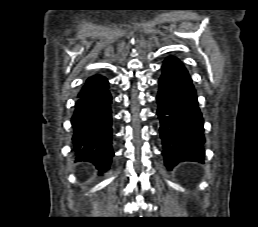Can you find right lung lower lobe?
Here are the masks:
<instances>
[{
    "instance_id": "obj_1",
    "label": "right lung lower lobe",
    "mask_w": 258,
    "mask_h": 227,
    "mask_svg": "<svg viewBox=\"0 0 258 227\" xmlns=\"http://www.w3.org/2000/svg\"><path fill=\"white\" fill-rule=\"evenodd\" d=\"M71 119L73 151L77 161H89L100 171L112 157V95L106 77H89L80 90Z\"/></svg>"
}]
</instances>
